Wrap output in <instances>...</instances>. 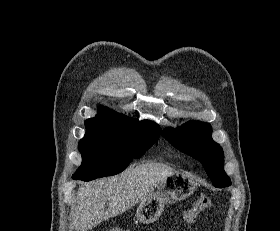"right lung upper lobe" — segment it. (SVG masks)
Instances as JSON below:
<instances>
[{
  "label": "right lung upper lobe",
  "mask_w": 280,
  "mask_h": 231,
  "mask_svg": "<svg viewBox=\"0 0 280 231\" xmlns=\"http://www.w3.org/2000/svg\"><path fill=\"white\" fill-rule=\"evenodd\" d=\"M92 119H116V120H121V121L130 123V124H134V125H138V126H142V127L160 129V127L154 122H151L148 120L137 121V120L131 119L123 114L114 112L103 106L99 108L98 114L96 115L95 118H90L88 120H92Z\"/></svg>",
  "instance_id": "right-lung-upper-lobe-1"
}]
</instances>
